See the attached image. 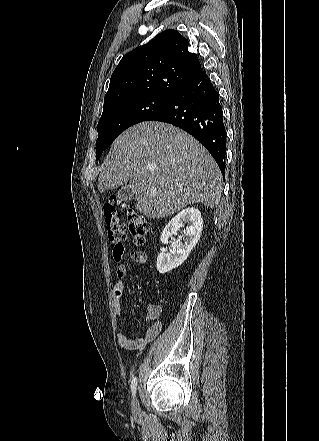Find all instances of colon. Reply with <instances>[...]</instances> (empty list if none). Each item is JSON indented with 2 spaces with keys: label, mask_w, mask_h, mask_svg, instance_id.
<instances>
[{
  "label": "colon",
  "mask_w": 319,
  "mask_h": 441,
  "mask_svg": "<svg viewBox=\"0 0 319 441\" xmlns=\"http://www.w3.org/2000/svg\"><path fill=\"white\" fill-rule=\"evenodd\" d=\"M127 211L129 219V232L135 244L142 245L144 244L146 236L150 230L149 222L143 215L134 211L133 209L127 208ZM103 213L108 238L113 246V256L115 260L119 261L124 251L126 229L118 217L116 199H111L104 204Z\"/></svg>",
  "instance_id": "colon-1"
}]
</instances>
